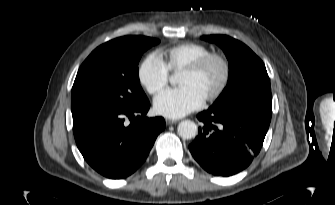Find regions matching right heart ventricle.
<instances>
[{
  "instance_id": "1",
  "label": "right heart ventricle",
  "mask_w": 335,
  "mask_h": 205,
  "mask_svg": "<svg viewBox=\"0 0 335 205\" xmlns=\"http://www.w3.org/2000/svg\"><path fill=\"white\" fill-rule=\"evenodd\" d=\"M211 50L200 43L185 42L159 52V55L172 73H179Z\"/></svg>"
}]
</instances>
